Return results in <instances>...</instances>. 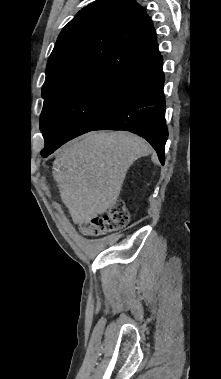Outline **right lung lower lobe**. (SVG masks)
Here are the masks:
<instances>
[{"label": "right lung lower lobe", "instance_id": "1", "mask_svg": "<svg viewBox=\"0 0 221 379\" xmlns=\"http://www.w3.org/2000/svg\"><path fill=\"white\" fill-rule=\"evenodd\" d=\"M162 66L159 55L122 75L110 109L93 130H127L138 134L153 146L164 164L168 130ZM67 141L57 140L41 151L42 157H47Z\"/></svg>", "mask_w": 221, "mask_h": 379}]
</instances>
